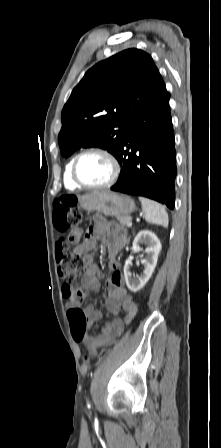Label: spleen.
I'll return each instance as SVG.
<instances>
[{
  "label": "spleen",
  "mask_w": 221,
  "mask_h": 448,
  "mask_svg": "<svg viewBox=\"0 0 221 448\" xmlns=\"http://www.w3.org/2000/svg\"><path fill=\"white\" fill-rule=\"evenodd\" d=\"M140 201L145 220L148 223L160 225L165 228L168 226L169 219L164 206L147 198H141Z\"/></svg>",
  "instance_id": "1"
}]
</instances>
